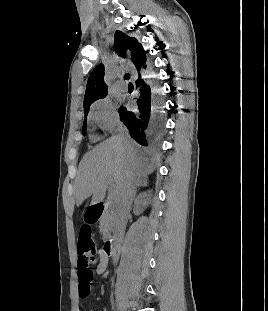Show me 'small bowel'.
Returning <instances> with one entry per match:
<instances>
[{
    "label": "small bowel",
    "instance_id": "1",
    "mask_svg": "<svg viewBox=\"0 0 268 311\" xmlns=\"http://www.w3.org/2000/svg\"><path fill=\"white\" fill-rule=\"evenodd\" d=\"M99 262L96 267V274L103 275L106 271L107 263H108V255H106L104 249L98 250ZM78 296L80 298H84L80 295L79 286H78Z\"/></svg>",
    "mask_w": 268,
    "mask_h": 311
}]
</instances>
